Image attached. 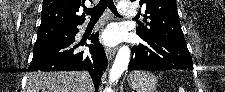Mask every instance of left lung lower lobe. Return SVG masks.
Masks as SVG:
<instances>
[{
	"label": "left lung lower lobe",
	"instance_id": "1",
	"mask_svg": "<svg viewBox=\"0 0 225 92\" xmlns=\"http://www.w3.org/2000/svg\"><path fill=\"white\" fill-rule=\"evenodd\" d=\"M143 40L144 43L132 48L129 70L193 69L192 58L186 43L170 39Z\"/></svg>",
	"mask_w": 225,
	"mask_h": 92
}]
</instances>
